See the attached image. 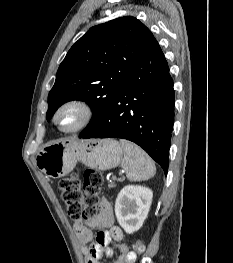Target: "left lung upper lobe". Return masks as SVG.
Returning a JSON list of instances; mask_svg holds the SVG:
<instances>
[{
    "instance_id": "1",
    "label": "left lung upper lobe",
    "mask_w": 233,
    "mask_h": 263,
    "mask_svg": "<svg viewBox=\"0 0 233 263\" xmlns=\"http://www.w3.org/2000/svg\"><path fill=\"white\" fill-rule=\"evenodd\" d=\"M155 40L134 17H121L94 26L68 51L48 95L47 119L63 103L86 101L93 117L80 137L103 117L127 75Z\"/></svg>"
}]
</instances>
